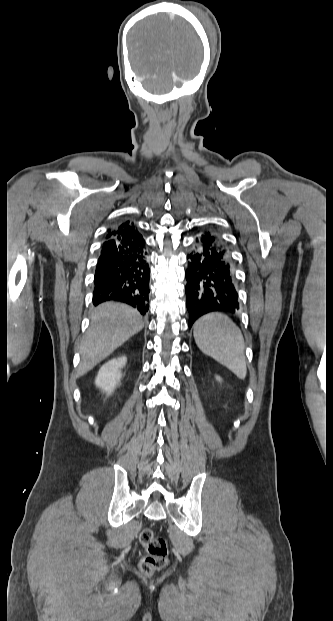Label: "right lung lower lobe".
<instances>
[{
	"mask_svg": "<svg viewBox=\"0 0 333 621\" xmlns=\"http://www.w3.org/2000/svg\"><path fill=\"white\" fill-rule=\"evenodd\" d=\"M149 264L145 245L103 243L95 272L93 304L120 301L146 314L149 308Z\"/></svg>",
	"mask_w": 333,
	"mask_h": 621,
	"instance_id": "98d812e1",
	"label": "right lung lower lobe"
}]
</instances>
